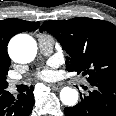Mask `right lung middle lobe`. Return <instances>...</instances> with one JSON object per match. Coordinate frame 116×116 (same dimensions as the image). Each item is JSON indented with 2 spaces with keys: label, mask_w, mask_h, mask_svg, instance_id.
<instances>
[{
  "label": "right lung middle lobe",
  "mask_w": 116,
  "mask_h": 116,
  "mask_svg": "<svg viewBox=\"0 0 116 116\" xmlns=\"http://www.w3.org/2000/svg\"><path fill=\"white\" fill-rule=\"evenodd\" d=\"M8 68L9 67H6L4 70H0V98H2L7 93L6 88L8 87V83L6 81V75Z\"/></svg>",
  "instance_id": "1"
}]
</instances>
